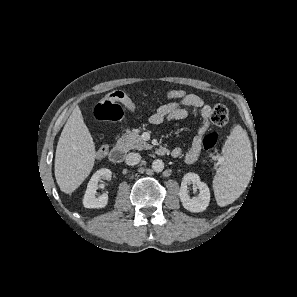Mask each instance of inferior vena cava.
Wrapping results in <instances>:
<instances>
[{"label":"inferior vena cava","mask_w":297,"mask_h":297,"mask_svg":"<svg viewBox=\"0 0 297 297\" xmlns=\"http://www.w3.org/2000/svg\"><path fill=\"white\" fill-rule=\"evenodd\" d=\"M141 161V155L139 153L131 152L126 156L125 162L129 166L138 164Z\"/></svg>","instance_id":"obj_1"}]
</instances>
